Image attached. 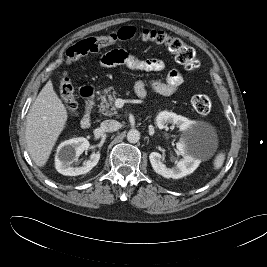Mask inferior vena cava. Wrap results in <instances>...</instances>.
Returning a JSON list of instances; mask_svg holds the SVG:
<instances>
[{"label":"inferior vena cava","instance_id":"obj_1","mask_svg":"<svg viewBox=\"0 0 267 267\" xmlns=\"http://www.w3.org/2000/svg\"><path fill=\"white\" fill-rule=\"evenodd\" d=\"M121 127L120 123L116 120H105L101 123V129L104 132H114Z\"/></svg>","mask_w":267,"mask_h":267}]
</instances>
